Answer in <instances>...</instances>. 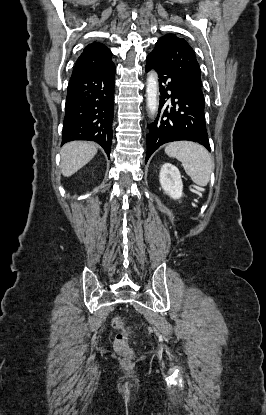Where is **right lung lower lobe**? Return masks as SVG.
Listing matches in <instances>:
<instances>
[{
    "label": "right lung lower lobe",
    "mask_w": 266,
    "mask_h": 415,
    "mask_svg": "<svg viewBox=\"0 0 266 415\" xmlns=\"http://www.w3.org/2000/svg\"><path fill=\"white\" fill-rule=\"evenodd\" d=\"M115 70L113 64L91 75L70 79L62 144L73 140L95 141L110 157Z\"/></svg>",
    "instance_id": "1"
}]
</instances>
